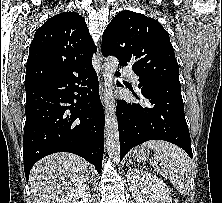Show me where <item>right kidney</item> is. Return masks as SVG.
I'll use <instances>...</instances> for the list:
<instances>
[{
	"instance_id": "1",
	"label": "right kidney",
	"mask_w": 222,
	"mask_h": 203,
	"mask_svg": "<svg viewBox=\"0 0 222 203\" xmlns=\"http://www.w3.org/2000/svg\"><path fill=\"white\" fill-rule=\"evenodd\" d=\"M90 188L86 184H80L68 192L61 203H90Z\"/></svg>"
}]
</instances>
